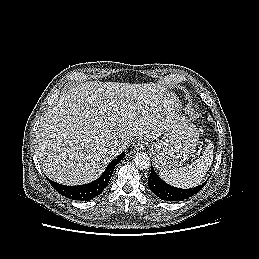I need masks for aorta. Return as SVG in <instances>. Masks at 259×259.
<instances>
[{"instance_id":"762f6f07","label":"aorta","mask_w":259,"mask_h":259,"mask_svg":"<svg viewBox=\"0 0 259 259\" xmlns=\"http://www.w3.org/2000/svg\"><path fill=\"white\" fill-rule=\"evenodd\" d=\"M134 162L137 168L146 169L150 166V158L144 152H139L134 155Z\"/></svg>"}]
</instances>
